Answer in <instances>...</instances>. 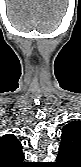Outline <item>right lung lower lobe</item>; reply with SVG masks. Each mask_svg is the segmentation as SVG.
Listing matches in <instances>:
<instances>
[{"label":"right lung lower lobe","mask_w":81,"mask_h":167,"mask_svg":"<svg viewBox=\"0 0 81 167\" xmlns=\"http://www.w3.org/2000/svg\"><path fill=\"white\" fill-rule=\"evenodd\" d=\"M28 165H23V166H21V167H27Z\"/></svg>","instance_id":"right-lung-lower-lobe-1"}]
</instances>
